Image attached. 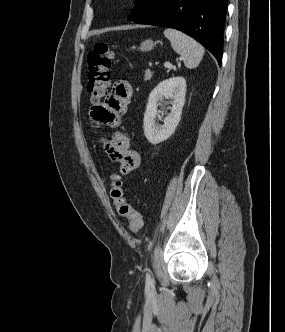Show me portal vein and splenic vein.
<instances>
[{
  "label": "portal vein and splenic vein",
  "instance_id": "obj_1",
  "mask_svg": "<svg viewBox=\"0 0 285 332\" xmlns=\"http://www.w3.org/2000/svg\"><path fill=\"white\" fill-rule=\"evenodd\" d=\"M164 66H165L166 68H172V64L169 63V62H165V63H164Z\"/></svg>",
  "mask_w": 285,
  "mask_h": 332
}]
</instances>
